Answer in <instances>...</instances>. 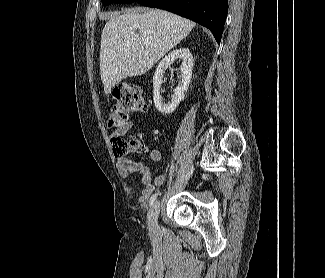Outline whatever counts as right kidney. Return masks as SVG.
<instances>
[{
	"instance_id": "obj_1",
	"label": "right kidney",
	"mask_w": 325,
	"mask_h": 278,
	"mask_svg": "<svg viewBox=\"0 0 325 278\" xmlns=\"http://www.w3.org/2000/svg\"><path fill=\"white\" fill-rule=\"evenodd\" d=\"M178 57H181L183 62L180 67V71L182 73V80L179 82L178 86L174 89V95L172 96L171 102L165 104L160 96V87L163 83V76L165 70L171 66L174 60ZM193 57L190 50L186 47H181L179 49H175L171 51L165 58L161 60L159 63L154 77H153V100L155 107L162 114H170L172 113L179 103L184 99L185 92L188 89L190 84V80L192 77L193 70Z\"/></svg>"
}]
</instances>
